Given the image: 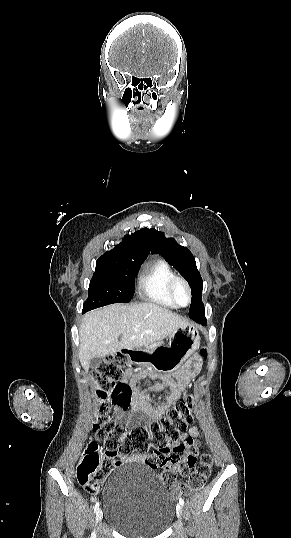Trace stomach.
<instances>
[{
	"label": "stomach",
	"instance_id": "obj_1",
	"mask_svg": "<svg viewBox=\"0 0 291 538\" xmlns=\"http://www.w3.org/2000/svg\"><path fill=\"white\" fill-rule=\"evenodd\" d=\"M200 343L197 327L189 325L179 328L170 335L169 345H158L153 349H130L127 360L132 365L152 366L161 375L171 376L178 363H186L188 354H193Z\"/></svg>",
	"mask_w": 291,
	"mask_h": 538
}]
</instances>
